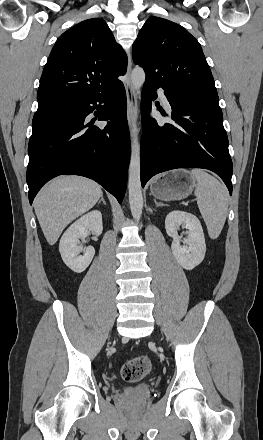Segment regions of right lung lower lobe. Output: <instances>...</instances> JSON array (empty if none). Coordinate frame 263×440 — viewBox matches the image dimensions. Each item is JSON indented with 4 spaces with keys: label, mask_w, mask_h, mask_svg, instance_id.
<instances>
[{
    "label": "right lung lower lobe",
    "mask_w": 263,
    "mask_h": 440,
    "mask_svg": "<svg viewBox=\"0 0 263 440\" xmlns=\"http://www.w3.org/2000/svg\"><path fill=\"white\" fill-rule=\"evenodd\" d=\"M103 104L99 107L97 106ZM94 109L104 128L85 124ZM126 93L119 83L65 103L63 114L33 130L28 145L29 202L50 179L61 175L85 176L102 185L122 202L130 156Z\"/></svg>",
    "instance_id": "98d812e1"
}]
</instances>
